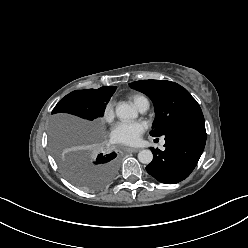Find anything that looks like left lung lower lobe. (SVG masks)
Instances as JSON below:
<instances>
[{
  "instance_id": "obj_1",
  "label": "left lung lower lobe",
  "mask_w": 248,
  "mask_h": 248,
  "mask_svg": "<svg viewBox=\"0 0 248 248\" xmlns=\"http://www.w3.org/2000/svg\"><path fill=\"white\" fill-rule=\"evenodd\" d=\"M206 143L203 114L192 116L165 135V150L151 148L153 160L146 167L155 179L175 184L187 178L197 165Z\"/></svg>"
}]
</instances>
